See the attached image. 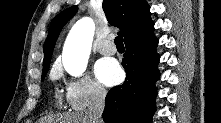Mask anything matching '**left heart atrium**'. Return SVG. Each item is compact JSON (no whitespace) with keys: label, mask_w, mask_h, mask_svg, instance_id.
Wrapping results in <instances>:
<instances>
[{"label":"left heart atrium","mask_w":221,"mask_h":123,"mask_svg":"<svg viewBox=\"0 0 221 123\" xmlns=\"http://www.w3.org/2000/svg\"><path fill=\"white\" fill-rule=\"evenodd\" d=\"M94 73L100 83L113 86L122 79V70L119 64L111 58H102L95 64Z\"/></svg>","instance_id":"left-heart-atrium-1"}]
</instances>
